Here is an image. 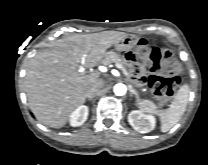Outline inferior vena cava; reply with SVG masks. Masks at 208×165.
Here are the masks:
<instances>
[{"mask_svg":"<svg viewBox=\"0 0 208 165\" xmlns=\"http://www.w3.org/2000/svg\"><path fill=\"white\" fill-rule=\"evenodd\" d=\"M102 87H103V81L97 80L92 84H90V86L88 87V94H95Z\"/></svg>","mask_w":208,"mask_h":165,"instance_id":"obj_1","label":"inferior vena cava"}]
</instances>
